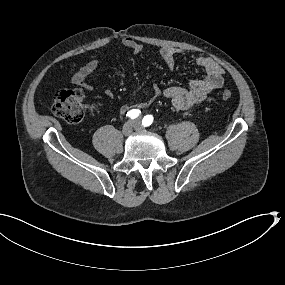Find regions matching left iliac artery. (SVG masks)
Returning <instances> with one entry per match:
<instances>
[{
    "mask_svg": "<svg viewBox=\"0 0 285 285\" xmlns=\"http://www.w3.org/2000/svg\"><path fill=\"white\" fill-rule=\"evenodd\" d=\"M153 122V116L152 115H147L143 118L142 120V125L144 127L150 126Z\"/></svg>",
    "mask_w": 285,
    "mask_h": 285,
    "instance_id": "1",
    "label": "left iliac artery"
}]
</instances>
